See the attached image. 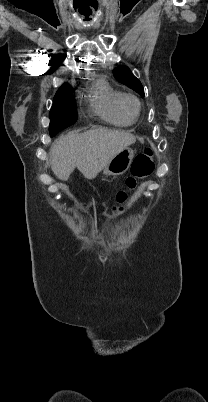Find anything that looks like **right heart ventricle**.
Segmentation results:
<instances>
[{"mask_svg":"<svg viewBox=\"0 0 208 402\" xmlns=\"http://www.w3.org/2000/svg\"><path fill=\"white\" fill-rule=\"evenodd\" d=\"M121 93L114 90L104 79L97 81L89 94L92 111L104 122L117 128H128L136 120L125 116L118 106Z\"/></svg>","mask_w":208,"mask_h":402,"instance_id":"obj_1","label":"right heart ventricle"}]
</instances>
